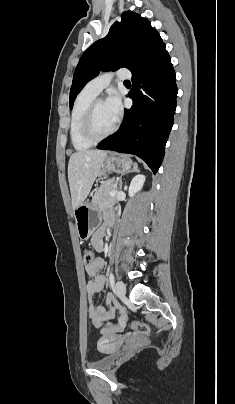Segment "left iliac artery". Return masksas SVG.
Returning a JSON list of instances; mask_svg holds the SVG:
<instances>
[{"label": "left iliac artery", "mask_w": 235, "mask_h": 404, "mask_svg": "<svg viewBox=\"0 0 235 404\" xmlns=\"http://www.w3.org/2000/svg\"><path fill=\"white\" fill-rule=\"evenodd\" d=\"M114 281H115L114 274H113L112 272H110V274H109V283H110V286H113V285H114Z\"/></svg>", "instance_id": "44dca946"}]
</instances>
